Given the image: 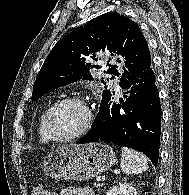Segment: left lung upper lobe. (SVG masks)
Masks as SVG:
<instances>
[{
    "label": "left lung upper lobe",
    "mask_w": 189,
    "mask_h": 195,
    "mask_svg": "<svg viewBox=\"0 0 189 195\" xmlns=\"http://www.w3.org/2000/svg\"><path fill=\"white\" fill-rule=\"evenodd\" d=\"M97 52L118 56L116 64L92 66L88 63L90 58L101 60L96 56ZM150 60L147 41L135 22L119 13L102 14L56 43L36 77L32 101L80 79L92 80L90 68L103 69L114 75H119L116 69L119 68L121 84ZM111 96L110 91L104 90L100 107Z\"/></svg>",
    "instance_id": "obj_1"
}]
</instances>
